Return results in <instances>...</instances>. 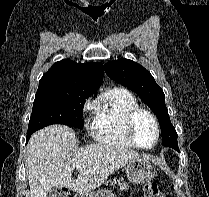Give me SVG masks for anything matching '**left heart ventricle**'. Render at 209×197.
<instances>
[{
    "label": "left heart ventricle",
    "instance_id": "left-heart-ventricle-1",
    "mask_svg": "<svg viewBox=\"0 0 209 197\" xmlns=\"http://www.w3.org/2000/svg\"><path fill=\"white\" fill-rule=\"evenodd\" d=\"M134 134L141 146H151L155 140V128L152 119L145 113H140L135 119Z\"/></svg>",
    "mask_w": 209,
    "mask_h": 197
}]
</instances>
